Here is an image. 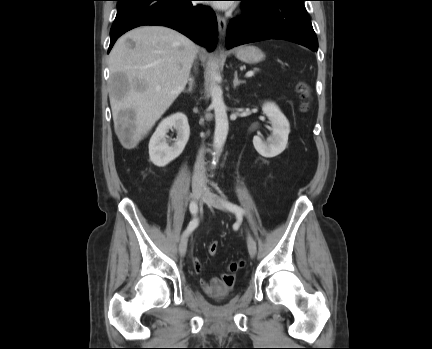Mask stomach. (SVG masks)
Wrapping results in <instances>:
<instances>
[{
    "label": "stomach",
    "mask_w": 432,
    "mask_h": 349,
    "mask_svg": "<svg viewBox=\"0 0 432 349\" xmlns=\"http://www.w3.org/2000/svg\"><path fill=\"white\" fill-rule=\"evenodd\" d=\"M235 57L247 64H256L264 60L265 55L256 46L245 45L234 50Z\"/></svg>",
    "instance_id": "0dacf381"
}]
</instances>
